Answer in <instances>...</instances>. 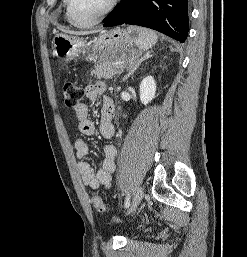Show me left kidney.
<instances>
[{
	"instance_id": "5707ae66",
	"label": "left kidney",
	"mask_w": 247,
	"mask_h": 257,
	"mask_svg": "<svg viewBox=\"0 0 247 257\" xmlns=\"http://www.w3.org/2000/svg\"><path fill=\"white\" fill-rule=\"evenodd\" d=\"M140 100L144 105H147L155 98L156 82L154 77L147 76L140 84Z\"/></svg>"
}]
</instances>
